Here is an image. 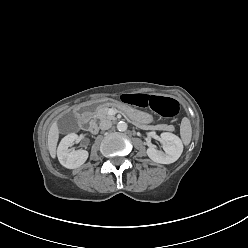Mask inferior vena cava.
<instances>
[{
	"mask_svg": "<svg viewBox=\"0 0 248 248\" xmlns=\"http://www.w3.org/2000/svg\"><path fill=\"white\" fill-rule=\"evenodd\" d=\"M99 127L101 130H108L112 127V122L110 120H102Z\"/></svg>",
	"mask_w": 248,
	"mask_h": 248,
	"instance_id": "inferior-vena-cava-1",
	"label": "inferior vena cava"
}]
</instances>
